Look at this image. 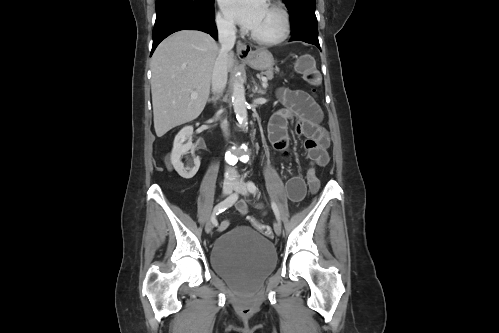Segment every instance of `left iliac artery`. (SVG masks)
Listing matches in <instances>:
<instances>
[{
    "label": "left iliac artery",
    "mask_w": 499,
    "mask_h": 333,
    "mask_svg": "<svg viewBox=\"0 0 499 333\" xmlns=\"http://www.w3.org/2000/svg\"><path fill=\"white\" fill-rule=\"evenodd\" d=\"M247 188H248L249 192H251L253 194H256L258 192V188L256 187V185L252 181H249L247 183ZM271 207H272V210H273V212H274V214L276 216V219L280 223L279 210H278V207H277V205H276V203L274 201H271Z\"/></svg>",
    "instance_id": "1"
}]
</instances>
